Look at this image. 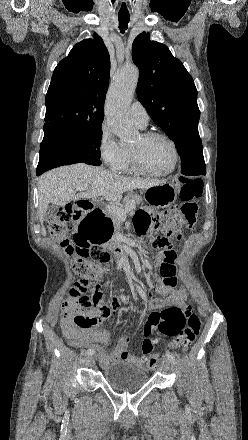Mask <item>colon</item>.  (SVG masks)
<instances>
[{"instance_id": "obj_1", "label": "colon", "mask_w": 248, "mask_h": 440, "mask_svg": "<svg viewBox=\"0 0 248 440\" xmlns=\"http://www.w3.org/2000/svg\"><path fill=\"white\" fill-rule=\"evenodd\" d=\"M180 182L182 205L178 216L171 219L163 231L152 239V247L157 251L159 259L173 257L176 261L173 241L180 240L183 228L191 227L196 221L197 205L194 200L201 196V181L181 177ZM75 218H84V211L67 204L57 210L48 223V229L51 237L72 258L73 270L81 277L70 289L69 301L80 309L87 310L96 307L100 301L99 285L94 281L105 277L110 257L103 247L91 246L88 241L71 243L69 236L73 232ZM73 321L80 327H87L91 323L89 317L83 313L75 314ZM200 328L201 320L197 315L176 305L150 313L144 324V340L141 344L148 366L154 367L158 361L157 355L153 353L156 338H152V334L171 337L170 345L173 349L186 351L194 342Z\"/></svg>"}]
</instances>
